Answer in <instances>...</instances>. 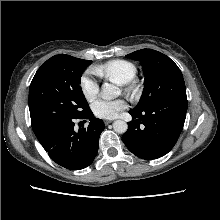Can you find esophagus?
Returning <instances> with one entry per match:
<instances>
[{"label": "esophagus", "mask_w": 220, "mask_h": 220, "mask_svg": "<svg viewBox=\"0 0 220 220\" xmlns=\"http://www.w3.org/2000/svg\"><path fill=\"white\" fill-rule=\"evenodd\" d=\"M111 122H112V120H105V121H104L105 125H108V124H110Z\"/></svg>", "instance_id": "1"}]
</instances>
